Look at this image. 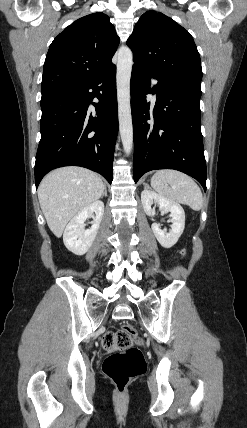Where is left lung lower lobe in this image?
<instances>
[{
  "label": "left lung lower lobe",
  "instance_id": "left-lung-lower-lobe-1",
  "mask_svg": "<svg viewBox=\"0 0 247 428\" xmlns=\"http://www.w3.org/2000/svg\"><path fill=\"white\" fill-rule=\"evenodd\" d=\"M151 77L158 80L152 89ZM131 109L134 131V181L155 169H175L195 178L206 191V162L201 133V94L170 85L148 68H132ZM157 94L154 109L147 94Z\"/></svg>",
  "mask_w": 247,
  "mask_h": 428
}]
</instances>
